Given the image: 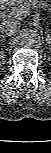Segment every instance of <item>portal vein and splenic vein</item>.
<instances>
[{"instance_id":"portal-vein-and-splenic-vein-1","label":"portal vein and splenic vein","mask_w":51,"mask_h":153,"mask_svg":"<svg viewBox=\"0 0 51 153\" xmlns=\"http://www.w3.org/2000/svg\"><path fill=\"white\" fill-rule=\"evenodd\" d=\"M28 14L27 10H20L18 12H11V16L17 19L25 18Z\"/></svg>"}]
</instances>
